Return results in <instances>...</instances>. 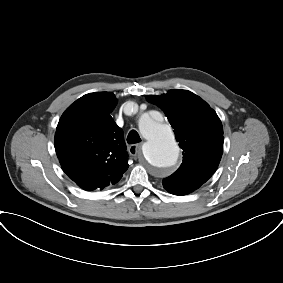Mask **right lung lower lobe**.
Wrapping results in <instances>:
<instances>
[{
    "label": "right lung lower lobe",
    "instance_id": "right-lung-lower-lobe-1",
    "mask_svg": "<svg viewBox=\"0 0 283 283\" xmlns=\"http://www.w3.org/2000/svg\"><path fill=\"white\" fill-rule=\"evenodd\" d=\"M66 164H62V169L65 170Z\"/></svg>",
    "mask_w": 283,
    "mask_h": 283
}]
</instances>
